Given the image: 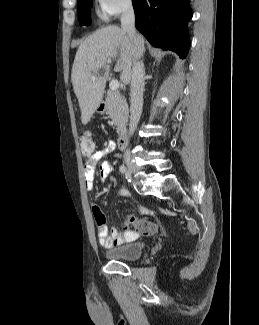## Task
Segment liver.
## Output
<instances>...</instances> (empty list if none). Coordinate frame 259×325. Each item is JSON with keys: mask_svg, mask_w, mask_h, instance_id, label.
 <instances>
[{"mask_svg": "<svg viewBox=\"0 0 259 325\" xmlns=\"http://www.w3.org/2000/svg\"><path fill=\"white\" fill-rule=\"evenodd\" d=\"M138 47L143 54L144 40L137 35ZM119 55L114 70L121 72L120 80L129 84L135 50L128 34L117 26L103 27L87 37L79 46L74 59L71 81L81 109V121L86 125L102 102L110 71L108 61ZM104 69V76H99ZM93 81L92 76H96Z\"/></svg>", "mask_w": 259, "mask_h": 325, "instance_id": "6515ba94", "label": "liver"}]
</instances>
